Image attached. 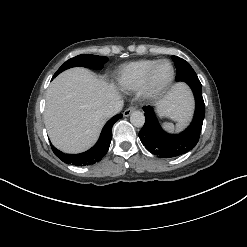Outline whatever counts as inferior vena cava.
I'll return each mask as SVG.
<instances>
[{"label": "inferior vena cava", "instance_id": "inferior-vena-cava-1", "mask_svg": "<svg viewBox=\"0 0 247 247\" xmlns=\"http://www.w3.org/2000/svg\"><path fill=\"white\" fill-rule=\"evenodd\" d=\"M123 108V101L117 100L112 103H110L105 109H104V116L109 118L116 114H118Z\"/></svg>", "mask_w": 247, "mask_h": 247}]
</instances>
